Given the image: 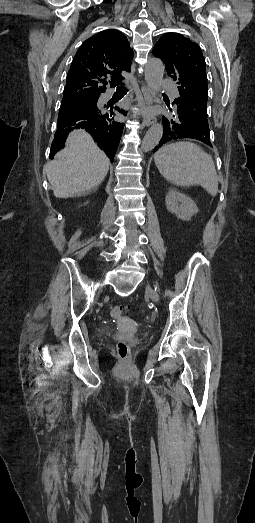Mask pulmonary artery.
Here are the masks:
<instances>
[{
	"label": "pulmonary artery",
	"instance_id": "1",
	"mask_svg": "<svg viewBox=\"0 0 255 523\" xmlns=\"http://www.w3.org/2000/svg\"><path fill=\"white\" fill-rule=\"evenodd\" d=\"M162 84L166 90L169 100L171 101L170 102L171 107H173V108L178 107L179 95H178V90H177V85H176L175 79L172 77H166L163 79ZM108 93L112 94V90H108Z\"/></svg>",
	"mask_w": 255,
	"mask_h": 523
}]
</instances>
